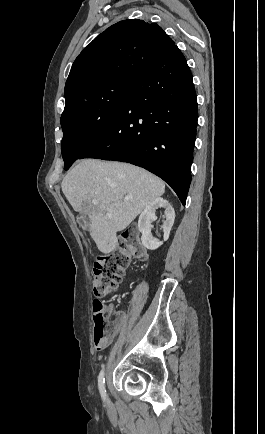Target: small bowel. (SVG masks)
<instances>
[{
    "mask_svg": "<svg viewBox=\"0 0 265 434\" xmlns=\"http://www.w3.org/2000/svg\"><path fill=\"white\" fill-rule=\"evenodd\" d=\"M106 309H107V311L114 312L115 318L117 320L116 324L112 325L111 329H110L108 339H109V342H111L115 338V336L120 332V330L127 325L128 317L122 311H115L114 306L112 304H109ZM97 353H100V352H97Z\"/></svg>",
    "mask_w": 265,
    "mask_h": 434,
    "instance_id": "1",
    "label": "small bowel"
}]
</instances>
